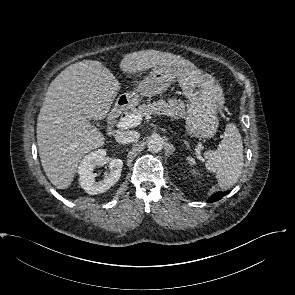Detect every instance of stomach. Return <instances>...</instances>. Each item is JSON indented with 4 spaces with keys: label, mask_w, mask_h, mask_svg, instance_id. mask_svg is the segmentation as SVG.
<instances>
[{
    "label": "stomach",
    "mask_w": 295,
    "mask_h": 295,
    "mask_svg": "<svg viewBox=\"0 0 295 295\" xmlns=\"http://www.w3.org/2000/svg\"><path fill=\"white\" fill-rule=\"evenodd\" d=\"M175 81L190 102L186 111V133L197 138L214 136L224 93L214 77L197 68L155 67L132 91L121 94L117 103L124 98L128 104H136L140 97L160 94Z\"/></svg>",
    "instance_id": "stomach-1"
}]
</instances>
